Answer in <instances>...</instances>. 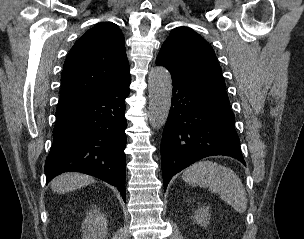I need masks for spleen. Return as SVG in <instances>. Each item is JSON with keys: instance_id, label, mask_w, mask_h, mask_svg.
Instances as JSON below:
<instances>
[{"instance_id": "3e777b00", "label": "spleen", "mask_w": 304, "mask_h": 239, "mask_svg": "<svg viewBox=\"0 0 304 239\" xmlns=\"http://www.w3.org/2000/svg\"><path fill=\"white\" fill-rule=\"evenodd\" d=\"M191 186L208 188L219 194L235 211L244 213L247 209L245 188L236 173L212 161H199L189 166L182 175Z\"/></svg>"}]
</instances>
